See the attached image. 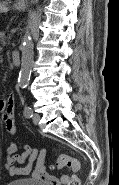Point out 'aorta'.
<instances>
[{"mask_svg":"<svg viewBox=\"0 0 119 185\" xmlns=\"http://www.w3.org/2000/svg\"><path fill=\"white\" fill-rule=\"evenodd\" d=\"M38 0H33L37 2ZM33 27L32 15L25 28V34L22 39L21 52H22V64L19 73L18 83L21 87H25L30 79V74L33 66V44L31 40L30 31Z\"/></svg>","mask_w":119,"mask_h":185,"instance_id":"obj_1","label":"aorta"}]
</instances>
